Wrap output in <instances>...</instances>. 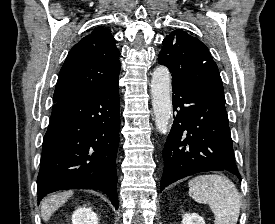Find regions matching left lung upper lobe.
Masks as SVG:
<instances>
[{"instance_id": "left-lung-upper-lobe-1", "label": "left lung upper lobe", "mask_w": 275, "mask_h": 224, "mask_svg": "<svg viewBox=\"0 0 275 224\" xmlns=\"http://www.w3.org/2000/svg\"><path fill=\"white\" fill-rule=\"evenodd\" d=\"M158 60L172 73V85L194 87L225 101L217 65L199 39L173 31L163 40Z\"/></svg>"}]
</instances>
